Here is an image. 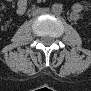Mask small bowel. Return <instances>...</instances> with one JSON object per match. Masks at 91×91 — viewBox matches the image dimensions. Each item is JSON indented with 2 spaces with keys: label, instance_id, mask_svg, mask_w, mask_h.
<instances>
[{
  "label": "small bowel",
  "instance_id": "obj_1",
  "mask_svg": "<svg viewBox=\"0 0 91 91\" xmlns=\"http://www.w3.org/2000/svg\"><path fill=\"white\" fill-rule=\"evenodd\" d=\"M16 8L19 13H23L27 8V1L26 0H19ZM74 14H75V12H74Z\"/></svg>",
  "mask_w": 91,
  "mask_h": 91
}]
</instances>
